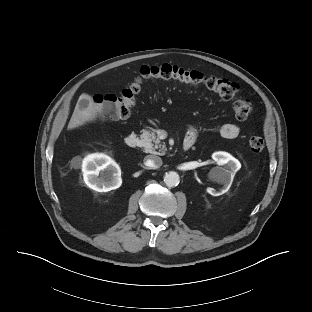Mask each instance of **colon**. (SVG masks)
Returning <instances> with one entry per match:
<instances>
[{
	"label": "colon",
	"mask_w": 312,
	"mask_h": 312,
	"mask_svg": "<svg viewBox=\"0 0 312 312\" xmlns=\"http://www.w3.org/2000/svg\"><path fill=\"white\" fill-rule=\"evenodd\" d=\"M147 79L174 80L194 85H205L220 97L232 100V110L237 120L247 119L252 111L249 100L235 98L239 89L237 83L226 78L206 76L200 71L188 70L170 64L142 66L139 75L128 88L117 95L95 96L93 101L98 107L107 106L110 109L109 118L124 119L130 115L135 106L136 95L140 92L143 81ZM248 145L251 151L259 153L264 149V140L259 136H253L249 139Z\"/></svg>",
	"instance_id": "5ec220e1"
}]
</instances>
